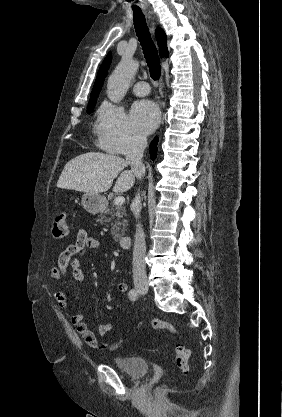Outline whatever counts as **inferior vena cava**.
<instances>
[{"label": "inferior vena cava", "mask_w": 282, "mask_h": 417, "mask_svg": "<svg viewBox=\"0 0 282 417\" xmlns=\"http://www.w3.org/2000/svg\"><path fill=\"white\" fill-rule=\"evenodd\" d=\"M147 146V138L143 134H134L130 142V148L126 154V160L131 166L137 178H141L145 172V166L142 160L144 148ZM131 211L139 219L141 213L140 196H135ZM146 243L142 225H137L135 233V243L133 249V281H147L146 263H145Z\"/></svg>", "instance_id": "602c4592"}]
</instances>
